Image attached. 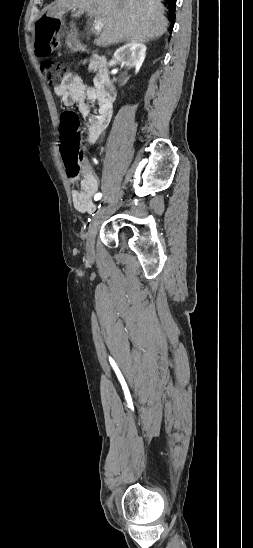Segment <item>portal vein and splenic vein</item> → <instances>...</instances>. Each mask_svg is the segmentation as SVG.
Returning a JSON list of instances; mask_svg holds the SVG:
<instances>
[{"instance_id": "1", "label": "portal vein and splenic vein", "mask_w": 253, "mask_h": 548, "mask_svg": "<svg viewBox=\"0 0 253 548\" xmlns=\"http://www.w3.org/2000/svg\"><path fill=\"white\" fill-rule=\"evenodd\" d=\"M103 23H102V20L100 17H95V20H94V31L96 33H99L101 31V29L103 28Z\"/></svg>"}]
</instances>
